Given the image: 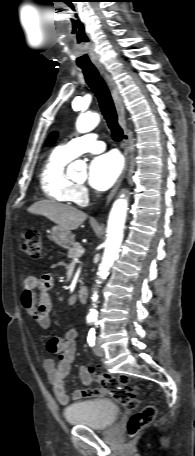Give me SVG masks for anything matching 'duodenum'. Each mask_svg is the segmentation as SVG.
I'll list each match as a JSON object with an SVG mask.
<instances>
[{
  "mask_svg": "<svg viewBox=\"0 0 195 456\" xmlns=\"http://www.w3.org/2000/svg\"><path fill=\"white\" fill-rule=\"evenodd\" d=\"M78 299L80 302H86L87 299H88V289L84 286H81L79 289H78Z\"/></svg>",
  "mask_w": 195,
  "mask_h": 456,
  "instance_id": "1",
  "label": "duodenum"
}]
</instances>
